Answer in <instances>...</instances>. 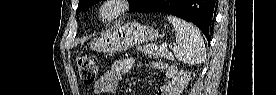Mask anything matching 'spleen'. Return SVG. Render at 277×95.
<instances>
[{
  "label": "spleen",
  "instance_id": "1",
  "mask_svg": "<svg viewBox=\"0 0 277 95\" xmlns=\"http://www.w3.org/2000/svg\"><path fill=\"white\" fill-rule=\"evenodd\" d=\"M176 33V59L187 64H199L205 57V44L199 30L192 24L174 16H167Z\"/></svg>",
  "mask_w": 277,
  "mask_h": 95
}]
</instances>
